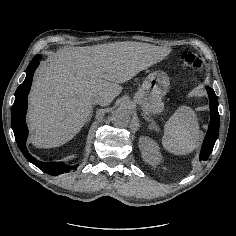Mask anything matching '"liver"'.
I'll return each mask as SVG.
<instances>
[{
	"label": "liver",
	"mask_w": 236,
	"mask_h": 236,
	"mask_svg": "<svg viewBox=\"0 0 236 236\" xmlns=\"http://www.w3.org/2000/svg\"><path fill=\"white\" fill-rule=\"evenodd\" d=\"M170 48L141 42H116L59 49L37 70L28 97L29 141L37 148L59 147L90 120L92 104L117 97L120 85L145 69L150 57Z\"/></svg>",
	"instance_id": "1"
}]
</instances>
